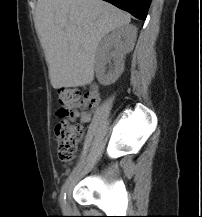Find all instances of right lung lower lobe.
Returning a JSON list of instances; mask_svg holds the SVG:
<instances>
[{"instance_id": "obj_1", "label": "right lung lower lobe", "mask_w": 202, "mask_h": 217, "mask_svg": "<svg viewBox=\"0 0 202 217\" xmlns=\"http://www.w3.org/2000/svg\"><path fill=\"white\" fill-rule=\"evenodd\" d=\"M116 7L128 11L134 17L145 20L151 0H104Z\"/></svg>"}]
</instances>
